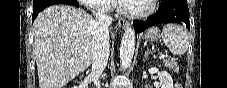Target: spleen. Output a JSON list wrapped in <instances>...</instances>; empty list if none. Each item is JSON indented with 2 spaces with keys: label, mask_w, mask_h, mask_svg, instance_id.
Instances as JSON below:
<instances>
[{
  "label": "spleen",
  "mask_w": 227,
  "mask_h": 88,
  "mask_svg": "<svg viewBox=\"0 0 227 88\" xmlns=\"http://www.w3.org/2000/svg\"><path fill=\"white\" fill-rule=\"evenodd\" d=\"M163 42L174 55L184 54L189 46L188 31L176 24H167L162 30Z\"/></svg>",
  "instance_id": "1"
}]
</instances>
